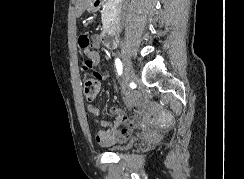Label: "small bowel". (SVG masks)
I'll return each instance as SVG.
<instances>
[{
    "label": "small bowel",
    "mask_w": 244,
    "mask_h": 179,
    "mask_svg": "<svg viewBox=\"0 0 244 179\" xmlns=\"http://www.w3.org/2000/svg\"><path fill=\"white\" fill-rule=\"evenodd\" d=\"M79 46L83 54L86 56V61L83 64L85 71L90 69H98L101 64V58L99 50L103 47V41L99 34H83L79 39ZM109 78L107 73L101 74L102 80ZM126 102L134 109L135 116L128 118L124 112L118 108H111L110 113L115 116V119L111 122L101 119L100 124L106 127V130H102L97 134V141L103 146H112L118 142H121L130 131L138 126L141 122V116L143 113L141 104L132 97H126ZM88 112L93 116H99V108L95 105L87 106Z\"/></svg>",
    "instance_id": "1"
}]
</instances>
